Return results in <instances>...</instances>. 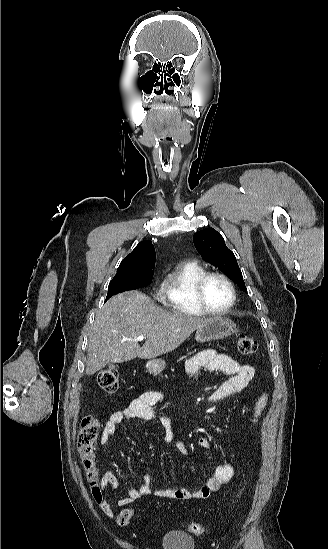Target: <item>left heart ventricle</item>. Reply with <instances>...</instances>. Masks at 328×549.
Wrapping results in <instances>:
<instances>
[{
  "mask_svg": "<svg viewBox=\"0 0 328 549\" xmlns=\"http://www.w3.org/2000/svg\"><path fill=\"white\" fill-rule=\"evenodd\" d=\"M204 294L207 304L203 306L213 311L223 310L231 301L230 287L218 277L208 280Z\"/></svg>",
  "mask_w": 328,
  "mask_h": 549,
  "instance_id": "obj_1",
  "label": "left heart ventricle"
}]
</instances>
